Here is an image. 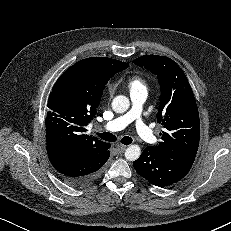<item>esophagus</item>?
<instances>
[{
	"label": "esophagus",
	"mask_w": 231,
	"mask_h": 231,
	"mask_svg": "<svg viewBox=\"0 0 231 231\" xmlns=\"http://www.w3.org/2000/svg\"><path fill=\"white\" fill-rule=\"evenodd\" d=\"M116 148H117V150H118L119 153H123L126 150L127 146L118 144L116 146Z\"/></svg>",
	"instance_id": "obj_1"
}]
</instances>
